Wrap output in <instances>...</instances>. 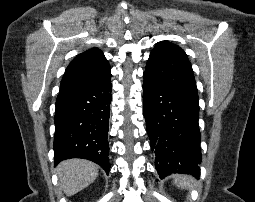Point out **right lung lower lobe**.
I'll return each mask as SVG.
<instances>
[{
    "mask_svg": "<svg viewBox=\"0 0 255 202\" xmlns=\"http://www.w3.org/2000/svg\"><path fill=\"white\" fill-rule=\"evenodd\" d=\"M110 79L86 88L60 92L56 100L55 165L69 158H83L108 174Z\"/></svg>",
    "mask_w": 255,
    "mask_h": 202,
    "instance_id": "98d812e1",
    "label": "right lung lower lobe"
}]
</instances>
